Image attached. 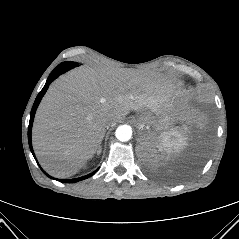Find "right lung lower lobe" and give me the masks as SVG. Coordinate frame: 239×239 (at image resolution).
<instances>
[{"mask_svg":"<svg viewBox=\"0 0 239 239\" xmlns=\"http://www.w3.org/2000/svg\"><path fill=\"white\" fill-rule=\"evenodd\" d=\"M52 73V72H51ZM58 76L57 75H53V74H50L47 81H46V84L44 85L43 89L40 91V93L38 94L34 104H33V107H32V110H31V114H30V121H29V126H28V141H29V146H30V150L33 154V156L35 157L34 155V152H33V148H32V142H31V130H32V124H33V119H34V115H35V112H36V109L43 97V95L45 94V92L47 91L48 87H49V84L55 79L57 78ZM98 170V169H97ZM97 170H95L93 173H90L86 176H82V177H79V178H76V179H69V180H63V179H60L58 181L60 182H64V183H75V182H78V181H81V180H84L90 176H92ZM43 171V170H42ZM48 177L52 178L51 176H49L45 171H43Z\"/></svg>","mask_w":239,"mask_h":239,"instance_id":"right-lung-lower-lobe-1","label":"right lung lower lobe"}]
</instances>
